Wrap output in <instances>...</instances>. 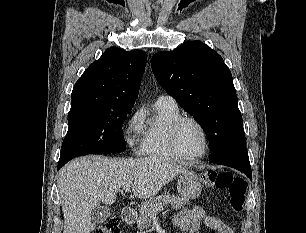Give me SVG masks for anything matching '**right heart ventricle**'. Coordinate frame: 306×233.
Wrapping results in <instances>:
<instances>
[{"mask_svg": "<svg viewBox=\"0 0 306 233\" xmlns=\"http://www.w3.org/2000/svg\"><path fill=\"white\" fill-rule=\"evenodd\" d=\"M181 117L177 105L164 102L154 104L152 115L143 123L144 137L142 154L155 160H174L177 157L171 151L168 133L171 124Z\"/></svg>", "mask_w": 306, "mask_h": 233, "instance_id": "e07e8e85", "label": "right heart ventricle"}]
</instances>
